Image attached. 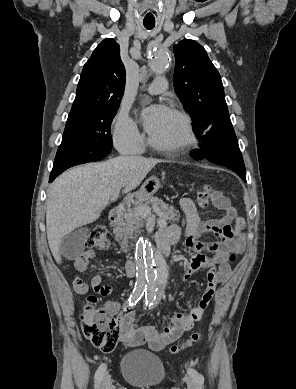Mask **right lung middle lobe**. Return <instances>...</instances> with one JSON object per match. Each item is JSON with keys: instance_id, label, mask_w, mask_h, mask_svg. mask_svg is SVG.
<instances>
[{"instance_id": "obj_1", "label": "right lung middle lobe", "mask_w": 296, "mask_h": 389, "mask_svg": "<svg viewBox=\"0 0 296 389\" xmlns=\"http://www.w3.org/2000/svg\"><path fill=\"white\" fill-rule=\"evenodd\" d=\"M119 106L98 108L83 117L67 120L54 169L103 159L112 150L110 126Z\"/></svg>"}]
</instances>
